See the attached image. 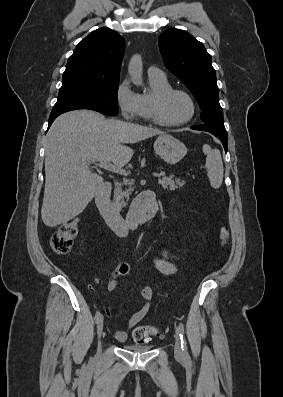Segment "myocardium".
Here are the masks:
<instances>
[{"instance_id": "f54148a6", "label": "myocardium", "mask_w": 283, "mask_h": 397, "mask_svg": "<svg viewBox=\"0 0 283 397\" xmlns=\"http://www.w3.org/2000/svg\"><path fill=\"white\" fill-rule=\"evenodd\" d=\"M173 94L184 95L189 100V102L191 104L190 115L186 119L177 121V122L167 121L163 116L164 104H165L166 100ZM196 108L197 107H196L195 100L193 99V97L191 96L190 93H188L187 91H185L183 89L169 88V89L162 91L154 98V100L152 102V119L156 124L163 126V127H170V128L179 127V126L187 124L188 122H190L193 119V117L196 114Z\"/></svg>"}]
</instances>
